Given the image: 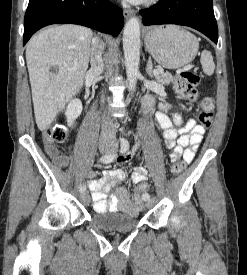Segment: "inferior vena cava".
<instances>
[{"instance_id": "602c4592", "label": "inferior vena cava", "mask_w": 247, "mask_h": 275, "mask_svg": "<svg viewBox=\"0 0 247 275\" xmlns=\"http://www.w3.org/2000/svg\"><path fill=\"white\" fill-rule=\"evenodd\" d=\"M104 48L105 45L100 38L94 37L92 39L90 51V71L94 75H100L104 71V63L102 59ZM100 143L110 145L116 144V134L114 130V125L112 121L107 117H104L102 120Z\"/></svg>"}]
</instances>
